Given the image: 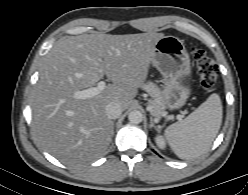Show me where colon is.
Masks as SVG:
<instances>
[{"mask_svg": "<svg viewBox=\"0 0 248 195\" xmlns=\"http://www.w3.org/2000/svg\"><path fill=\"white\" fill-rule=\"evenodd\" d=\"M200 84L205 89H212L218 77V67L207 53L199 48L191 50Z\"/></svg>", "mask_w": 248, "mask_h": 195, "instance_id": "obj_1", "label": "colon"}]
</instances>
